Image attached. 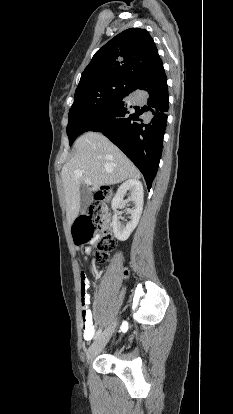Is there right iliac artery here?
<instances>
[{
  "instance_id": "obj_1",
  "label": "right iliac artery",
  "mask_w": 233,
  "mask_h": 414,
  "mask_svg": "<svg viewBox=\"0 0 233 414\" xmlns=\"http://www.w3.org/2000/svg\"><path fill=\"white\" fill-rule=\"evenodd\" d=\"M101 333H102V329H99L95 334L94 340L98 339L100 337Z\"/></svg>"
}]
</instances>
